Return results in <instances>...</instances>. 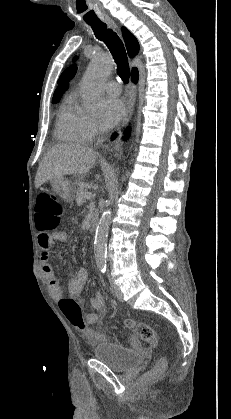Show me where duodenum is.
Wrapping results in <instances>:
<instances>
[{
	"mask_svg": "<svg viewBox=\"0 0 231 419\" xmlns=\"http://www.w3.org/2000/svg\"><path fill=\"white\" fill-rule=\"evenodd\" d=\"M89 222H90L91 228L92 229H96L97 226H98V223H99V215L98 214H93L90 217Z\"/></svg>",
	"mask_w": 231,
	"mask_h": 419,
	"instance_id": "obj_1",
	"label": "duodenum"
}]
</instances>
